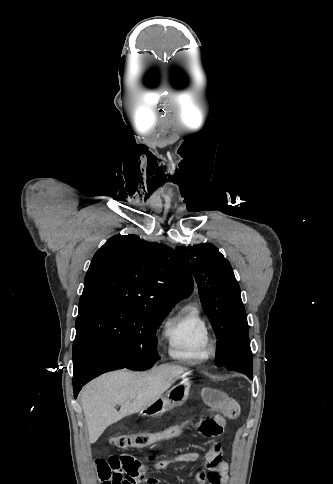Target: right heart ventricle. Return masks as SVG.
<instances>
[{
  "label": "right heart ventricle",
  "mask_w": 333,
  "mask_h": 484,
  "mask_svg": "<svg viewBox=\"0 0 333 484\" xmlns=\"http://www.w3.org/2000/svg\"><path fill=\"white\" fill-rule=\"evenodd\" d=\"M209 334L208 323L195 303H187L164 323L163 336L168 354L191 364L208 358L205 340Z\"/></svg>",
  "instance_id": "1"
}]
</instances>
